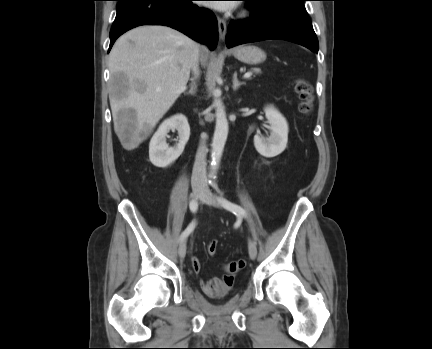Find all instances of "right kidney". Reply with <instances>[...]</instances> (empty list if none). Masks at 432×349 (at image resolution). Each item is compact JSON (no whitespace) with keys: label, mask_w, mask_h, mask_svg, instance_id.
Segmentation results:
<instances>
[{"label":"right kidney","mask_w":432,"mask_h":349,"mask_svg":"<svg viewBox=\"0 0 432 349\" xmlns=\"http://www.w3.org/2000/svg\"><path fill=\"white\" fill-rule=\"evenodd\" d=\"M178 131L179 141L174 147L166 143V135L170 130ZM190 137V126L187 118L177 114L166 119L155 132L149 144V159L156 167L165 168L174 163L183 153Z\"/></svg>","instance_id":"obj_1"}]
</instances>
